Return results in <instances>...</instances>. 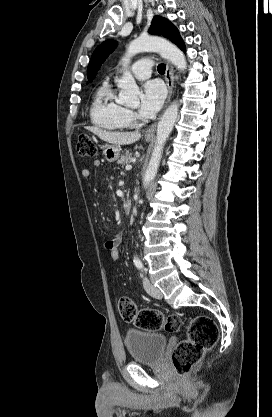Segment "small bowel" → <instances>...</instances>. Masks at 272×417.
Instances as JSON below:
<instances>
[{
  "instance_id": "obj_1",
  "label": "small bowel",
  "mask_w": 272,
  "mask_h": 417,
  "mask_svg": "<svg viewBox=\"0 0 272 417\" xmlns=\"http://www.w3.org/2000/svg\"><path fill=\"white\" fill-rule=\"evenodd\" d=\"M93 165H94V167H100V166H102V161L99 160V159H96V160H94ZM81 175L84 178H89L91 176V170L89 168H83L82 171H81ZM122 239H123V236H122L121 233H117V234L113 235L111 238H109L105 242V248L112 241H119L121 243L122 242Z\"/></svg>"
}]
</instances>
